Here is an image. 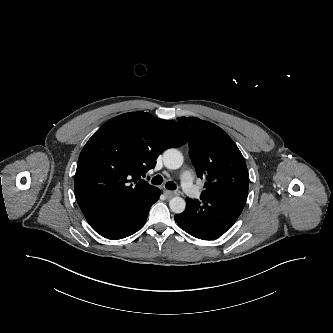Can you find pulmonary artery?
I'll list each match as a JSON object with an SVG mask.
<instances>
[{"instance_id":"pulmonary-artery-1","label":"pulmonary artery","mask_w":333,"mask_h":333,"mask_svg":"<svg viewBox=\"0 0 333 333\" xmlns=\"http://www.w3.org/2000/svg\"><path fill=\"white\" fill-rule=\"evenodd\" d=\"M180 180L183 190L188 195L195 196L198 194V188L194 184L193 173L190 170L182 172V174L180 175Z\"/></svg>"}]
</instances>
